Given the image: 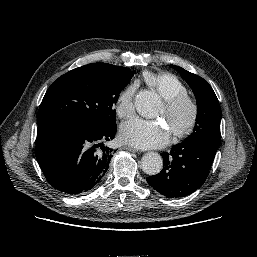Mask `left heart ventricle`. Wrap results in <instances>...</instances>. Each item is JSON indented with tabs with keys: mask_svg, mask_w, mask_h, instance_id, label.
<instances>
[{
	"mask_svg": "<svg viewBox=\"0 0 257 257\" xmlns=\"http://www.w3.org/2000/svg\"><path fill=\"white\" fill-rule=\"evenodd\" d=\"M164 107L161 105L157 116L163 117L171 131L180 126L183 122H185L189 116V107L184 106L175 114L165 115Z\"/></svg>",
	"mask_w": 257,
	"mask_h": 257,
	"instance_id": "obj_1",
	"label": "left heart ventricle"
}]
</instances>
